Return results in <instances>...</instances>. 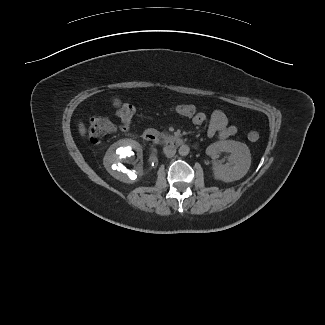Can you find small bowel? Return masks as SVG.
I'll list each match as a JSON object with an SVG mask.
<instances>
[{"instance_id":"1","label":"small bowel","mask_w":325,"mask_h":325,"mask_svg":"<svg viewBox=\"0 0 325 325\" xmlns=\"http://www.w3.org/2000/svg\"><path fill=\"white\" fill-rule=\"evenodd\" d=\"M180 105V104H179ZM194 125H202L207 120V115L202 112V115L198 119H193ZM237 133L236 126L229 123L228 117L221 110H214L209 117V126L207 134L209 137H218L220 139H226L234 136Z\"/></svg>"}]
</instances>
